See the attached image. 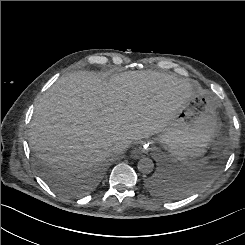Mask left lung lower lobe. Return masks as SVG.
Masks as SVG:
<instances>
[{"label": "left lung lower lobe", "mask_w": 245, "mask_h": 245, "mask_svg": "<svg viewBox=\"0 0 245 245\" xmlns=\"http://www.w3.org/2000/svg\"><path fill=\"white\" fill-rule=\"evenodd\" d=\"M146 187L153 194L169 199L172 196L181 195L186 190V185L168 172L162 173L160 176H153L146 180Z\"/></svg>", "instance_id": "left-lung-lower-lobe-1"}]
</instances>
